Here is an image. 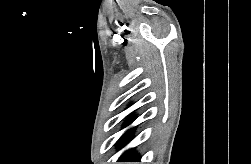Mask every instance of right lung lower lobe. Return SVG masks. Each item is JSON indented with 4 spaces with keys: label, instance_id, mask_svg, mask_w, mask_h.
Wrapping results in <instances>:
<instances>
[{
    "label": "right lung lower lobe",
    "instance_id": "right-lung-lower-lobe-1",
    "mask_svg": "<svg viewBox=\"0 0 251 164\" xmlns=\"http://www.w3.org/2000/svg\"><path fill=\"white\" fill-rule=\"evenodd\" d=\"M133 119H129L125 126L129 125L132 122ZM134 128L128 130L118 141L119 146L123 147L125 144L128 143L130 140L132 134H133ZM119 162H139L140 158L138 154L135 153L134 149H130L123 153L121 157L118 159Z\"/></svg>",
    "mask_w": 251,
    "mask_h": 164
}]
</instances>
